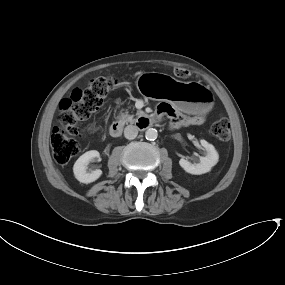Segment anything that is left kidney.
Wrapping results in <instances>:
<instances>
[{
    "label": "left kidney",
    "mask_w": 285,
    "mask_h": 285,
    "mask_svg": "<svg viewBox=\"0 0 285 285\" xmlns=\"http://www.w3.org/2000/svg\"><path fill=\"white\" fill-rule=\"evenodd\" d=\"M200 143L206 155L200 157L199 163L192 164L185 158H181L179 161L180 166L190 174L200 175L209 172L211 168L217 164L219 159L218 153L212 144L204 139L200 140Z\"/></svg>",
    "instance_id": "obj_1"
}]
</instances>
